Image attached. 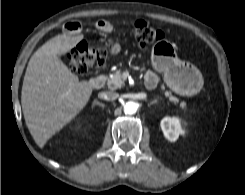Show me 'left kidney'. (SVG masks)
<instances>
[{"mask_svg": "<svg viewBox=\"0 0 245 195\" xmlns=\"http://www.w3.org/2000/svg\"><path fill=\"white\" fill-rule=\"evenodd\" d=\"M161 129L164 136L171 142H175L179 135L184 134L185 131L181 127L180 120L178 118L165 117L161 120Z\"/></svg>", "mask_w": 245, "mask_h": 195, "instance_id": "1", "label": "left kidney"}]
</instances>
